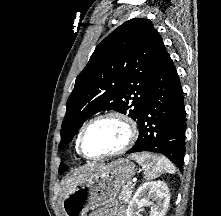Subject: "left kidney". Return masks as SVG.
Segmentation results:
<instances>
[{"label":"left kidney","mask_w":221,"mask_h":216,"mask_svg":"<svg viewBox=\"0 0 221 216\" xmlns=\"http://www.w3.org/2000/svg\"><path fill=\"white\" fill-rule=\"evenodd\" d=\"M153 197L150 216H164L168 209L170 194L168 186L163 181H151L141 185L136 191L127 208V216H141L139 209L148 203V198Z\"/></svg>","instance_id":"5707ae66"}]
</instances>
